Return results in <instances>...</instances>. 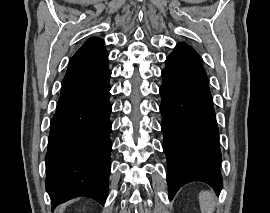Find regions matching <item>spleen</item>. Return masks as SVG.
Instances as JSON below:
<instances>
[{"instance_id": "1", "label": "spleen", "mask_w": 270, "mask_h": 213, "mask_svg": "<svg viewBox=\"0 0 270 213\" xmlns=\"http://www.w3.org/2000/svg\"><path fill=\"white\" fill-rule=\"evenodd\" d=\"M201 213H213L215 210L214 194L210 191H202L199 194Z\"/></svg>"}]
</instances>
